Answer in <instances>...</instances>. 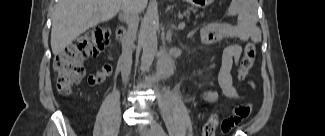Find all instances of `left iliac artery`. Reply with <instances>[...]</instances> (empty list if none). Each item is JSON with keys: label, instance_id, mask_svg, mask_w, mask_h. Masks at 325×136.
Wrapping results in <instances>:
<instances>
[{"label": "left iliac artery", "instance_id": "obj_1", "mask_svg": "<svg viewBox=\"0 0 325 136\" xmlns=\"http://www.w3.org/2000/svg\"><path fill=\"white\" fill-rule=\"evenodd\" d=\"M158 135L159 136H167V134L165 133V131L163 130V128L161 126H159V128H158Z\"/></svg>", "mask_w": 325, "mask_h": 136}]
</instances>
